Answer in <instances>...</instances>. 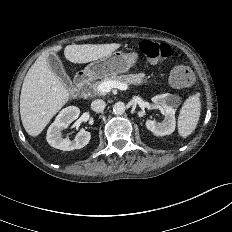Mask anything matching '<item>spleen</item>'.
I'll list each match as a JSON object with an SVG mask.
<instances>
[{
  "mask_svg": "<svg viewBox=\"0 0 232 232\" xmlns=\"http://www.w3.org/2000/svg\"><path fill=\"white\" fill-rule=\"evenodd\" d=\"M201 110V102L197 95L190 96L181 108L178 118V131L186 138L196 128Z\"/></svg>",
  "mask_w": 232,
  "mask_h": 232,
  "instance_id": "1",
  "label": "spleen"
}]
</instances>
